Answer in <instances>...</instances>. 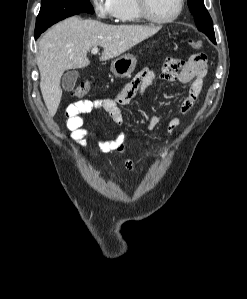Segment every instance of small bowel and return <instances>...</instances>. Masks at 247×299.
Instances as JSON below:
<instances>
[{
    "instance_id": "c3829d8e",
    "label": "small bowel",
    "mask_w": 247,
    "mask_h": 299,
    "mask_svg": "<svg viewBox=\"0 0 247 299\" xmlns=\"http://www.w3.org/2000/svg\"><path fill=\"white\" fill-rule=\"evenodd\" d=\"M206 56L195 54L188 61L179 59H168L158 76L160 80L181 84L190 83L188 94L182 99L180 109L183 113L188 112L200 95L203 86V79L206 74ZM156 75L150 69L141 70L135 79L129 83L114 99L82 100L70 104L66 109V127L71 133V138L77 144L84 146L87 143L89 132L84 127L85 115L93 110H104L112 122L119 128L123 125L124 119L119 105L128 104L136 95L145 96L146 89L155 81ZM161 119L153 114L147 117V128L156 129ZM178 125V119L172 117L168 122V131L173 133ZM98 147L102 152H117L124 157V165L129 171H136V164L127 155L124 144V136L120 130L111 139H99Z\"/></svg>"
}]
</instances>
